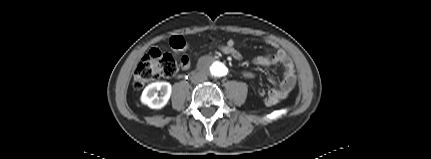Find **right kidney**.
Segmentation results:
<instances>
[{
  "label": "right kidney",
  "mask_w": 431,
  "mask_h": 159,
  "mask_svg": "<svg viewBox=\"0 0 431 159\" xmlns=\"http://www.w3.org/2000/svg\"><path fill=\"white\" fill-rule=\"evenodd\" d=\"M160 91V93H159ZM172 86L168 82H154L149 84L142 92L141 102L152 109H161L169 101Z\"/></svg>",
  "instance_id": "right-kidney-1"
}]
</instances>
